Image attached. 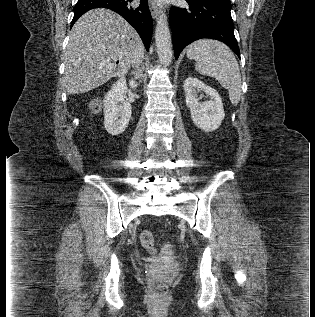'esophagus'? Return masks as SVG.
I'll return each mask as SVG.
<instances>
[{
    "label": "esophagus",
    "mask_w": 315,
    "mask_h": 317,
    "mask_svg": "<svg viewBox=\"0 0 315 317\" xmlns=\"http://www.w3.org/2000/svg\"><path fill=\"white\" fill-rule=\"evenodd\" d=\"M149 8H150V12L151 15L154 19H157L158 15H159V9L158 6L155 2V0H149Z\"/></svg>",
    "instance_id": "1"
}]
</instances>
